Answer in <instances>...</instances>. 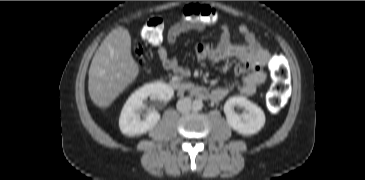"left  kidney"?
I'll use <instances>...</instances> for the list:
<instances>
[{
  "label": "left kidney",
  "instance_id": "obj_1",
  "mask_svg": "<svg viewBox=\"0 0 365 180\" xmlns=\"http://www.w3.org/2000/svg\"><path fill=\"white\" fill-rule=\"evenodd\" d=\"M239 106L247 112L238 115L233 108ZM227 123L238 133L252 135L258 133L265 124V115L260 107L242 96L229 98L224 105Z\"/></svg>",
  "mask_w": 365,
  "mask_h": 180
}]
</instances>
